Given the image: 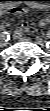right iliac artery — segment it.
<instances>
[{
  "mask_svg": "<svg viewBox=\"0 0 50 111\" xmlns=\"http://www.w3.org/2000/svg\"><path fill=\"white\" fill-rule=\"evenodd\" d=\"M1 36H5V37L7 36V37H8L9 35H8L7 32H2V33H1Z\"/></svg>",
  "mask_w": 50,
  "mask_h": 111,
  "instance_id": "right-iliac-artery-1",
  "label": "right iliac artery"
}]
</instances>
